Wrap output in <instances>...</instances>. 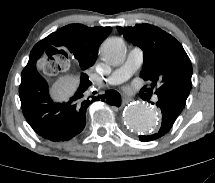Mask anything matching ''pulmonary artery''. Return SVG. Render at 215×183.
Here are the masks:
<instances>
[{"label":"pulmonary artery","mask_w":215,"mask_h":183,"mask_svg":"<svg viewBox=\"0 0 215 183\" xmlns=\"http://www.w3.org/2000/svg\"><path fill=\"white\" fill-rule=\"evenodd\" d=\"M143 58L144 55L141 48H132L125 63L113 71L107 81L113 85L126 81L140 68L143 63ZM154 99L157 100V97L155 96Z\"/></svg>","instance_id":"pulmonary-artery-1"}]
</instances>
